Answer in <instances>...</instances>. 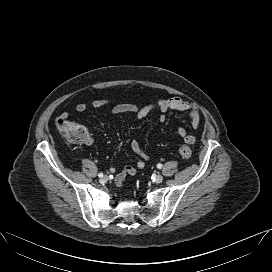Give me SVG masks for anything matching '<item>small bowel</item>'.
Returning <instances> with one entry per match:
<instances>
[{"label":"small bowel","mask_w":272,"mask_h":272,"mask_svg":"<svg viewBox=\"0 0 272 272\" xmlns=\"http://www.w3.org/2000/svg\"><path fill=\"white\" fill-rule=\"evenodd\" d=\"M111 102L107 99H96L92 101V106L94 108H102L110 105ZM87 109V105L83 102H79L75 106L77 112H84ZM153 110H159L165 113L169 110L184 111L188 113V118L190 124L193 128H198L201 123V115L198 107L191 102L185 101L181 98L174 97L169 99H158L154 103L146 105L144 107H139L133 103H119L115 104L111 108V113L114 115L123 113H134L139 119L147 117ZM61 118H68L69 113L63 112L60 115ZM161 122L165 121V115L159 117ZM178 135L183 138L184 141L193 144L195 138L192 134L187 133L186 129L183 127H178ZM88 143H91L89 140ZM132 151L138 157L135 165H126L121 171H119L115 176V182L118 186H121L127 176H133L138 170L145 167V162L149 160L148 154L142 149L140 143L136 140H132L130 143ZM111 172L115 173L116 168L111 167Z\"/></svg>","instance_id":"1"}]
</instances>
